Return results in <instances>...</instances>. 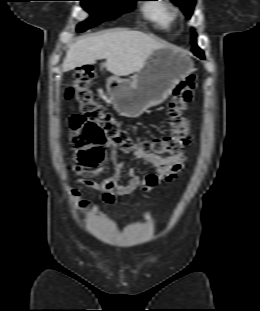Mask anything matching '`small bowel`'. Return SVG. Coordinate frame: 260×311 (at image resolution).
Returning <instances> with one entry per match:
<instances>
[{
  "mask_svg": "<svg viewBox=\"0 0 260 311\" xmlns=\"http://www.w3.org/2000/svg\"><path fill=\"white\" fill-rule=\"evenodd\" d=\"M105 146L109 149L114 162V169L108 177L97 181L95 180L97 174L82 171L77 166H73L71 171L83 175L79 179V188H89L100 193L102 199L108 204L115 202L117 198L123 196L132 197L138 191L150 192L154 190L160 182L172 181L181 171L185 161V156L183 154L162 157L154 153H148L137 149L134 152L136 159L146 162L149 166L153 167L156 172H147L141 177L138 175L137 170L131 167L127 171L129 181L123 183L121 179L123 166L122 163L117 160L118 146L112 141H107ZM70 193L74 198L78 199V189H71ZM78 204L83 212H87L93 208V203L89 200L78 199Z\"/></svg>",
  "mask_w": 260,
  "mask_h": 311,
  "instance_id": "c3829d8e",
  "label": "small bowel"
}]
</instances>
